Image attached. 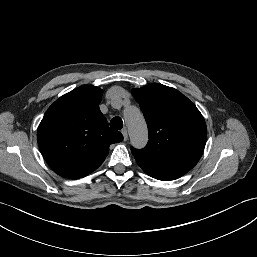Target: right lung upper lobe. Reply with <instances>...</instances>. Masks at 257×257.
<instances>
[{
    "label": "right lung upper lobe",
    "mask_w": 257,
    "mask_h": 257,
    "mask_svg": "<svg viewBox=\"0 0 257 257\" xmlns=\"http://www.w3.org/2000/svg\"><path fill=\"white\" fill-rule=\"evenodd\" d=\"M102 93L98 87L80 86L45 113L38 127V145L58 175L78 179L90 174L103 163L109 146L123 140L99 109Z\"/></svg>",
    "instance_id": "1"
}]
</instances>
